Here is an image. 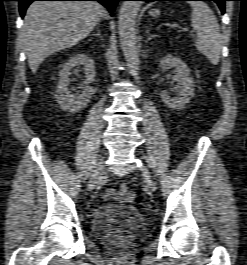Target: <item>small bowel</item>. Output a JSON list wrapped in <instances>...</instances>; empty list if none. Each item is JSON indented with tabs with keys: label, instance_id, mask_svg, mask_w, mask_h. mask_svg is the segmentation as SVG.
Segmentation results:
<instances>
[{
	"label": "small bowel",
	"instance_id": "obj_1",
	"mask_svg": "<svg viewBox=\"0 0 247 265\" xmlns=\"http://www.w3.org/2000/svg\"><path fill=\"white\" fill-rule=\"evenodd\" d=\"M104 197L108 199H116L129 202L135 199V194L133 191H128L127 193H120L119 191L110 189L105 192Z\"/></svg>",
	"mask_w": 247,
	"mask_h": 265
}]
</instances>
